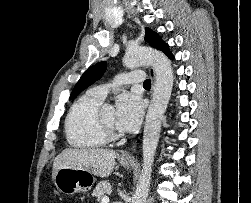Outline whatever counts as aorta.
I'll return each instance as SVG.
<instances>
[{"label":"aorta","mask_w":251,"mask_h":203,"mask_svg":"<svg viewBox=\"0 0 251 203\" xmlns=\"http://www.w3.org/2000/svg\"><path fill=\"white\" fill-rule=\"evenodd\" d=\"M123 63L128 68L151 65L156 73L153 96L144 126L142 171L132 197V203H146L161 123L171 97L174 75L168 57L161 51L151 48H138L128 51L124 56Z\"/></svg>","instance_id":"aorta-1"}]
</instances>
